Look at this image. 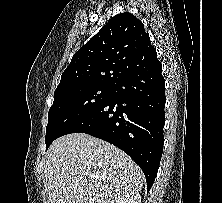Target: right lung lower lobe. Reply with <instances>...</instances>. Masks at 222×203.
Returning <instances> with one entry per match:
<instances>
[{"mask_svg": "<svg viewBox=\"0 0 222 203\" xmlns=\"http://www.w3.org/2000/svg\"><path fill=\"white\" fill-rule=\"evenodd\" d=\"M161 69L155 59L123 76L103 104L60 135L86 133L117 146L142 169L147 191L157 175L164 142L165 81Z\"/></svg>", "mask_w": 222, "mask_h": 203, "instance_id": "obj_1", "label": "right lung lower lobe"}]
</instances>
